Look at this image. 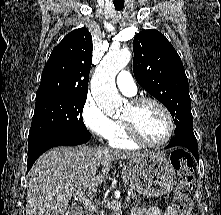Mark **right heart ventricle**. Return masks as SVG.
Here are the masks:
<instances>
[{
    "mask_svg": "<svg viewBox=\"0 0 221 215\" xmlns=\"http://www.w3.org/2000/svg\"><path fill=\"white\" fill-rule=\"evenodd\" d=\"M115 129L111 136L108 137V143L119 149H135L139 145L133 142L127 135L124 125L120 120L114 121Z\"/></svg>",
    "mask_w": 221,
    "mask_h": 215,
    "instance_id": "e07e8e85",
    "label": "right heart ventricle"
}]
</instances>
